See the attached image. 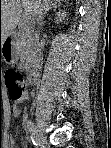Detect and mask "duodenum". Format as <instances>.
<instances>
[{"label": "duodenum", "mask_w": 111, "mask_h": 148, "mask_svg": "<svg viewBox=\"0 0 111 148\" xmlns=\"http://www.w3.org/2000/svg\"><path fill=\"white\" fill-rule=\"evenodd\" d=\"M38 77H39V74L37 72V69L32 68L30 70L29 75H28L27 83L30 85H34V84L38 83Z\"/></svg>", "instance_id": "obj_1"}]
</instances>
